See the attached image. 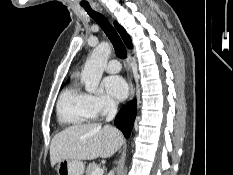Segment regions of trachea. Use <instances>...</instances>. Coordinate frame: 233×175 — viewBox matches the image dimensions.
Returning a JSON list of instances; mask_svg holds the SVG:
<instances>
[{"label": "trachea", "mask_w": 233, "mask_h": 175, "mask_svg": "<svg viewBox=\"0 0 233 175\" xmlns=\"http://www.w3.org/2000/svg\"><path fill=\"white\" fill-rule=\"evenodd\" d=\"M82 7L87 11V13L94 19V21L102 28L106 36L109 38L112 43L115 53L119 58H126L127 51L126 48L119 37L118 33L108 22V20L100 13L95 12L91 9L89 4H82Z\"/></svg>", "instance_id": "1"}]
</instances>
